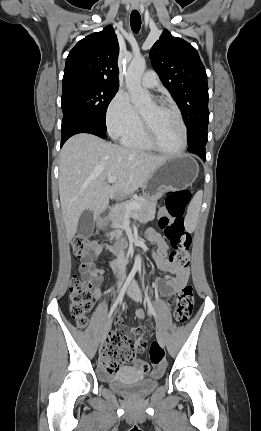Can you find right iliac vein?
<instances>
[{
    "label": "right iliac vein",
    "instance_id": "obj_1",
    "mask_svg": "<svg viewBox=\"0 0 261 431\" xmlns=\"http://www.w3.org/2000/svg\"><path fill=\"white\" fill-rule=\"evenodd\" d=\"M121 285H122V280H120V281H119V284H118V290H120ZM111 322H112V320L110 319V320H108V322L106 323V326H105V328H104V332H103V335H102L101 343L104 341L105 337L107 336V334H108V332H109V330H110V328H111Z\"/></svg>",
    "mask_w": 261,
    "mask_h": 431
}]
</instances>
